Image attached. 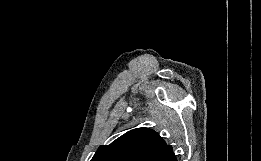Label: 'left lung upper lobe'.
Returning <instances> with one entry per match:
<instances>
[{
    "label": "left lung upper lobe",
    "instance_id": "1",
    "mask_svg": "<svg viewBox=\"0 0 261 161\" xmlns=\"http://www.w3.org/2000/svg\"><path fill=\"white\" fill-rule=\"evenodd\" d=\"M168 146L155 131L136 128L101 145L91 161H154Z\"/></svg>",
    "mask_w": 261,
    "mask_h": 161
}]
</instances>
